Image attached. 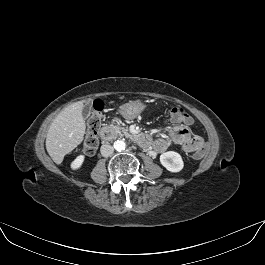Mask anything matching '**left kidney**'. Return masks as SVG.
Returning <instances> with one entry per match:
<instances>
[{"instance_id": "left-kidney-1", "label": "left kidney", "mask_w": 265, "mask_h": 265, "mask_svg": "<svg viewBox=\"0 0 265 265\" xmlns=\"http://www.w3.org/2000/svg\"><path fill=\"white\" fill-rule=\"evenodd\" d=\"M160 162L170 172H179L184 166L181 155L174 151L161 154Z\"/></svg>"}]
</instances>
